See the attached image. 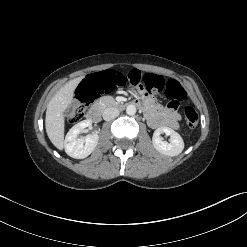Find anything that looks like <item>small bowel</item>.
Here are the masks:
<instances>
[{"label": "small bowel", "mask_w": 247, "mask_h": 247, "mask_svg": "<svg viewBox=\"0 0 247 247\" xmlns=\"http://www.w3.org/2000/svg\"><path fill=\"white\" fill-rule=\"evenodd\" d=\"M136 93L140 102L143 104V111L148 124L155 129L170 128L178 130L180 128V115L176 107L168 106L162 110L152 99L146 94L144 89L137 87Z\"/></svg>", "instance_id": "small-bowel-1"}]
</instances>
